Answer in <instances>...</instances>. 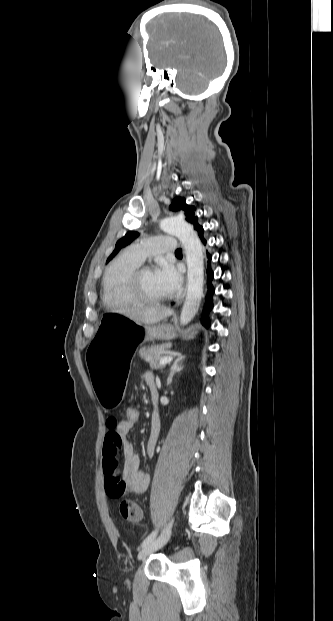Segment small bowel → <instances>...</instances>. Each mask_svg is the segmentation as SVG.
I'll use <instances>...</instances> for the list:
<instances>
[{
    "mask_svg": "<svg viewBox=\"0 0 333 621\" xmlns=\"http://www.w3.org/2000/svg\"><path fill=\"white\" fill-rule=\"evenodd\" d=\"M145 382L149 386L155 384L154 374L150 371L144 374ZM108 431L103 443V471L105 476V490L111 498H121L130 493L140 495L147 491L150 476L139 467V458L133 444L128 439L132 424L124 419L108 420ZM160 433V420L154 411L151 428L146 442L148 456H153ZM122 458V461L121 459Z\"/></svg>",
    "mask_w": 333,
    "mask_h": 621,
    "instance_id": "1",
    "label": "small bowel"
}]
</instances>
